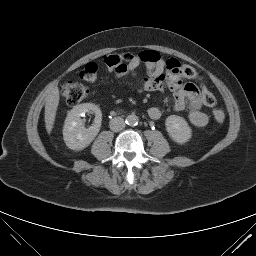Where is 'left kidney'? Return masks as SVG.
I'll list each match as a JSON object with an SVG mask.
<instances>
[{"mask_svg":"<svg viewBox=\"0 0 256 256\" xmlns=\"http://www.w3.org/2000/svg\"><path fill=\"white\" fill-rule=\"evenodd\" d=\"M166 130L173 141L184 144L191 139L192 130L187 121L180 116L171 115L165 120Z\"/></svg>","mask_w":256,"mask_h":256,"instance_id":"1","label":"left kidney"}]
</instances>
